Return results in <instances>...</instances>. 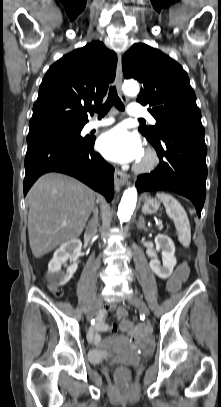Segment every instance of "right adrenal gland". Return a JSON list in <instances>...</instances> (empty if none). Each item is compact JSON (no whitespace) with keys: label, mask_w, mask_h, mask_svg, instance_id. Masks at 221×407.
I'll return each mask as SVG.
<instances>
[{"label":"right adrenal gland","mask_w":221,"mask_h":407,"mask_svg":"<svg viewBox=\"0 0 221 407\" xmlns=\"http://www.w3.org/2000/svg\"><path fill=\"white\" fill-rule=\"evenodd\" d=\"M95 217L96 218L98 217V210H96V212H95Z\"/></svg>","instance_id":"right-adrenal-gland-1"}]
</instances>
